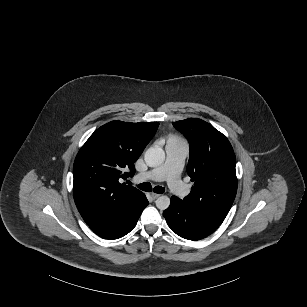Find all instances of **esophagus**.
<instances>
[{
    "label": "esophagus",
    "mask_w": 307,
    "mask_h": 307,
    "mask_svg": "<svg viewBox=\"0 0 307 307\" xmlns=\"http://www.w3.org/2000/svg\"><path fill=\"white\" fill-rule=\"evenodd\" d=\"M150 195L154 200L160 196L159 194H156V193H151Z\"/></svg>",
    "instance_id": "esophagus-1"
}]
</instances>
